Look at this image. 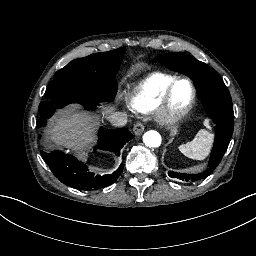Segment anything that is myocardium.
Segmentation results:
<instances>
[{"instance_id": "1", "label": "myocardium", "mask_w": 256, "mask_h": 256, "mask_svg": "<svg viewBox=\"0 0 256 256\" xmlns=\"http://www.w3.org/2000/svg\"><path fill=\"white\" fill-rule=\"evenodd\" d=\"M182 82H185L190 86L191 100L189 104L181 110H174L171 106V98L178 84ZM195 103L196 90L192 81L188 78H178L170 85L157 102L151 103L153 107L152 111L149 113H154L159 116L162 120V124H165L166 126H174L193 109Z\"/></svg>"}]
</instances>
